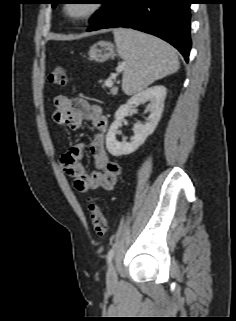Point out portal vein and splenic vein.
<instances>
[{
  "mask_svg": "<svg viewBox=\"0 0 236 321\" xmlns=\"http://www.w3.org/2000/svg\"><path fill=\"white\" fill-rule=\"evenodd\" d=\"M113 77V76H112ZM112 84V80L111 79H108L107 81H106V85H111Z\"/></svg>",
  "mask_w": 236,
  "mask_h": 321,
  "instance_id": "18ae733b",
  "label": "portal vein and splenic vein"
}]
</instances>
